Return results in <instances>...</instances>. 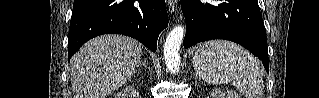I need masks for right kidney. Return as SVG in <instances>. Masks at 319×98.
Returning <instances> with one entry per match:
<instances>
[{"label": "right kidney", "instance_id": "right-kidney-1", "mask_svg": "<svg viewBox=\"0 0 319 98\" xmlns=\"http://www.w3.org/2000/svg\"><path fill=\"white\" fill-rule=\"evenodd\" d=\"M133 92L135 93L134 90H133ZM116 98H125V94H118V95L116 96Z\"/></svg>", "mask_w": 319, "mask_h": 98}]
</instances>
